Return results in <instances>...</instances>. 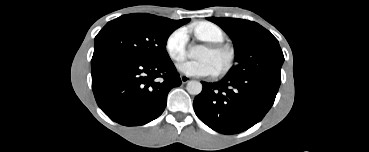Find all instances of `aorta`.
<instances>
[{
    "label": "aorta",
    "mask_w": 369,
    "mask_h": 152,
    "mask_svg": "<svg viewBox=\"0 0 369 152\" xmlns=\"http://www.w3.org/2000/svg\"><path fill=\"white\" fill-rule=\"evenodd\" d=\"M203 51L202 46H194L190 49V54L193 56H199ZM186 90L191 95H198L202 91V84L199 81L192 80L187 83Z\"/></svg>",
    "instance_id": "762f6f07"
}]
</instances>
